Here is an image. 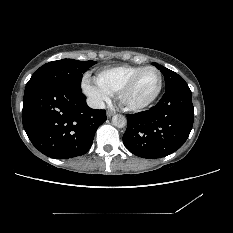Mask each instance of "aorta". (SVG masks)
<instances>
[{"label":"aorta","instance_id":"762f6f07","mask_svg":"<svg viewBox=\"0 0 233 233\" xmlns=\"http://www.w3.org/2000/svg\"><path fill=\"white\" fill-rule=\"evenodd\" d=\"M126 118L123 115H114L112 118V123L118 128H123L126 125Z\"/></svg>","mask_w":233,"mask_h":233}]
</instances>
